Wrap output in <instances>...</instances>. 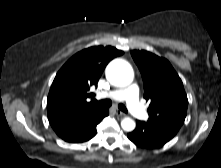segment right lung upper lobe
I'll return each mask as SVG.
<instances>
[{"label":"right lung upper lobe","instance_id":"obj_1","mask_svg":"<svg viewBox=\"0 0 221 168\" xmlns=\"http://www.w3.org/2000/svg\"><path fill=\"white\" fill-rule=\"evenodd\" d=\"M123 51L114 47L94 46L71 57L58 71L47 99V114L52 127L67 125L84 117H92L104 108L87 102L90 89L106 65Z\"/></svg>","mask_w":221,"mask_h":168}]
</instances>
